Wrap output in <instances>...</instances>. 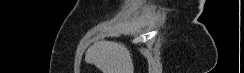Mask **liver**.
Returning a JSON list of instances; mask_svg holds the SVG:
<instances>
[{
	"instance_id": "liver-1",
	"label": "liver",
	"mask_w": 244,
	"mask_h": 73,
	"mask_svg": "<svg viewBox=\"0 0 244 73\" xmlns=\"http://www.w3.org/2000/svg\"><path fill=\"white\" fill-rule=\"evenodd\" d=\"M86 60L93 63L102 73H133L130 51L118 42L100 41L86 52Z\"/></svg>"
}]
</instances>
